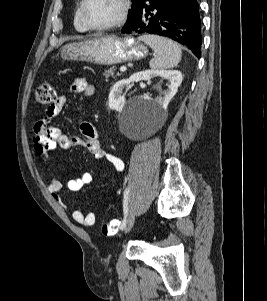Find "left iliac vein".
Returning a JSON list of instances; mask_svg holds the SVG:
<instances>
[{
  "label": "left iliac vein",
  "instance_id": "obj_1",
  "mask_svg": "<svg viewBox=\"0 0 267 301\" xmlns=\"http://www.w3.org/2000/svg\"><path fill=\"white\" fill-rule=\"evenodd\" d=\"M134 222H135V213H134V211L132 210V211L130 212V215H129L128 219H127L125 228H124L123 230H124L126 233L129 232V231L132 229V227H133V225H134Z\"/></svg>",
  "mask_w": 267,
  "mask_h": 301
}]
</instances>
